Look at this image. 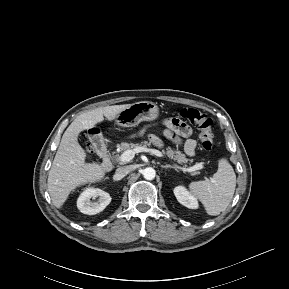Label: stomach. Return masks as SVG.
<instances>
[{
    "instance_id": "stomach-1",
    "label": "stomach",
    "mask_w": 289,
    "mask_h": 289,
    "mask_svg": "<svg viewBox=\"0 0 289 289\" xmlns=\"http://www.w3.org/2000/svg\"><path fill=\"white\" fill-rule=\"evenodd\" d=\"M159 116L158 106L150 101H140L131 104L121 111L115 122L121 127H134L142 121H153Z\"/></svg>"
}]
</instances>
